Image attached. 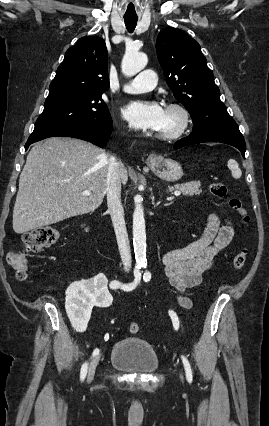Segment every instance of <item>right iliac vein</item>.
Listing matches in <instances>:
<instances>
[{"instance_id": "right-iliac-vein-1", "label": "right iliac vein", "mask_w": 269, "mask_h": 426, "mask_svg": "<svg viewBox=\"0 0 269 426\" xmlns=\"http://www.w3.org/2000/svg\"><path fill=\"white\" fill-rule=\"evenodd\" d=\"M100 360V354H97L91 361L90 365H89V370H88V377H87V381L88 383L92 382V380L94 379V375H95V370L96 367L98 365V362Z\"/></svg>"}]
</instances>
